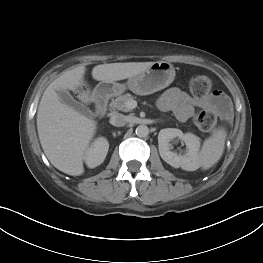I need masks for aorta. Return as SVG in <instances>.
Wrapping results in <instances>:
<instances>
[{
	"label": "aorta",
	"mask_w": 263,
	"mask_h": 263,
	"mask_svg": "<svg viewBox=\"0 0 263 263\" xmlns=\"http://www.w3.org/2000/svg\"><path fill=\"white\" fill-rule=\"evenodd\" d=\"M135 132L138 137L144 138L149 135V128L146 125H139Z\"/></svg>",
	"instance_id": "aorta-1"
}]
</instances>
